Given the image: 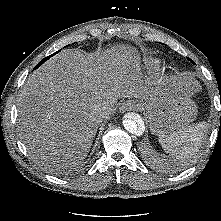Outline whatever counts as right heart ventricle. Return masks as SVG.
Here are the masks:
<instances>
[{
	"instance_id": "obj_1",
	"label": "right heart ventricle",
	"mask_w": 221,
	"mask_h": 221,
	"mask_svg": "<svg viewBox=\"0 0 221 221\" xmlns=\"http://www.w3.org/2000/svg\"><path fill=\"white\" fill-rule=\"evenodd\" d=\"M161 68V61L158 59H152L148 63V69L155 71V70H160Z\"/></svg>"
}]
</instances>
